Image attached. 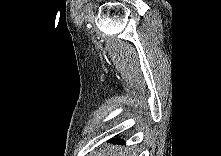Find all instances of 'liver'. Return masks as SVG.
Listing matches in <instances>:
<instances>
[{
    "mask_svg": "<svg viewBox=\"0 0 221 156\" xmlns=\"http://www.w3.org/2000/svg\"><path fill=\"white\" fill-rule=\"evenodd\" d=\"M97 154L98 156H125V155L127 156L131 154V149L121 148L120 146H117V145L115 146L111 145Z\"/></svg>",
    "mask_w": 221,
    "mask_h": 156,
    "instance_id": "6515ba94",
    "label": "liver"
}]
</instances>
